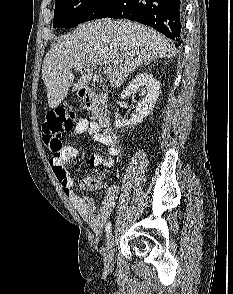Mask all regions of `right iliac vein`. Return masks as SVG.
Returning a JSON list of instances; mask_svg holds the SVG:
<instances>
[{
	"label": "right iliac vein",
	"mask_w": 233,
	"mask_h": 294,
	"mask_svg": "<svg viewBox=\"0 0 233 294\" xmlns=\"http://www.w3.org/2000/svg\"><path fill=\"white\" fill-rule=\"evenodd\" d=\"M113 246L114 236L113 234H110L104 248V264L107 269H111L113 267Z\"/></svg>",
	"instance_id": "63e3f726"
}]
</instances>
